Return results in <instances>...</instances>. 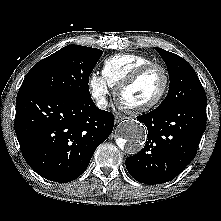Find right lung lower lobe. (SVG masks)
Masks as SVG:
<instances>
[{
  "label": "right lung lower lobe",
  "instance_id": "1",
  "mask_svg": "<svg viewBox=\"0 0 221 221\" xmlns=\"http://www.w3.org/2000/svg\"><path fill=\"white\" fill-rule=\"evenodd\" d=\"M113 114L92 99L19 91L15 132L27 164L45 179L66 183L87 168L113 129Z\"/></svg>",
  "mask_w": 221,
  "mask_h": 221
}]
</instances>
